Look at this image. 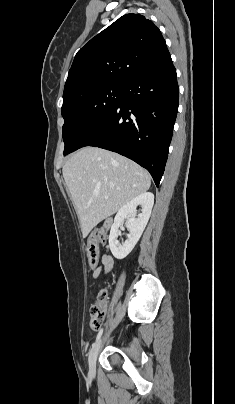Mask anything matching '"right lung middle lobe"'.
<instances>
[{"instance_id":"dd1d6c3e","label":"right lung middle lobe","mask_w":235,"mask_h":404,"mask_svg":"<svg viewBox=\"0 0 235 404\" xmlns=\"http://www.w3.org/2000/svg\"><path fill=\"white\" fill-rule=\"evenodd\" d=\"M122 94L123 84L104 85L63 104L64 155L75 151L84 136L118 105Z\"/></svg>"}]
</instances>
